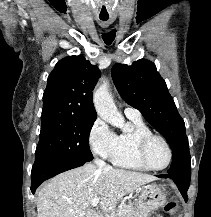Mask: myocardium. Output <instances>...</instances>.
I'll return each instance as SVG.
<instances>
[{
    "label": "myocardium",
    "mask_w": 211,
    "mask_h": 217,
    "mask_svg": "<svg viewBox=\"0 0 211 217\" xmlns=\"http://www.w3.org/2000/svg\"><path fill=\"white\" fill-rule=\"evenodd\" d=\"M155 139H159L165 144V146L168 150V154H169L168 161H167L166 165L163 167H160V168L152 166L149 163L148 158H147V150H148L149 144ZM137 152H138V157H139L141 163L147 169L152 170V171L165 170L166 168L169 167V165L171 164L172 159H173V151H172L171 145L169 144L168 140L165 137H163L162 135L154 134L152 132L150 134H146V135L142 136L139 139L138 146H137Z\"/></svg>",
    "instance_id": "1"
}]
</instances>
